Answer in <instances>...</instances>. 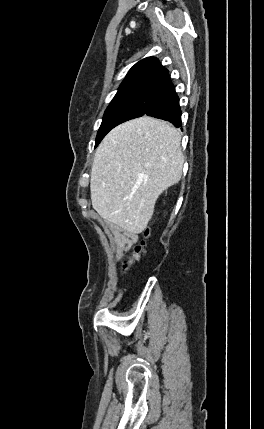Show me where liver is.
I'll return each mask as SVG.
<instances>
[{
    "label": "liver",
    "instance_id": "6515ba94",
    "mask_svg": "<svg viewBox=\"0 0 264 429\" xmlns=\"http://www.w3.org/2000/svg\"><path fill=\"white\" fill-rule=\"evenodd\" d=\"M181 135L168 123L143 116L111 130L91 170L93 208L101 218L140 234L158 197L182 177Z\"/></svg>",
    "mask_w": 264,
    "mask_h": 429
}]
</instances>
